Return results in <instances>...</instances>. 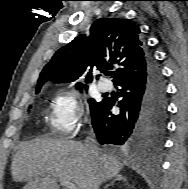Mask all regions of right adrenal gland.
I'll list each match as a JSON object with an SVG mask.
<instances>
[{
  "label": "right adrenal gland",
  "instance_id": "right-adrenal-gland-1",
  "mask_svg": "<svg viewBox=\"0 0 188 189\" xmlns=\"http://www.w3.org/2000/svg\"><path fill=\"white\" fill-rule=\"evenodd\" d=\"M116 181H124V182H126L127 180H126L125 177H123V176L120 175V174L115 175V176H114V179L110 182V184H107V185L105 186V189H108V187L111 186V185H113Z\"/></svg>",
  "mask_w": 188,
  "mask_h": 189
}]
</instances>
